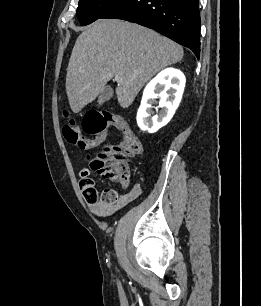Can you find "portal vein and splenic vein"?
Here are the masks:
<instances>
[{"label": "portal vein and splenic vein", "mask_w": 261, "mask_h": 306, "mask_svg": "<svg viewBox=\"0 0 261 306\" xmlns=\"http://www.w3.org/2000/svg\"><path fill=\"white\" fill-rule=\"evenodd\" d=\"M114 79H115V81H117V82H123V79H122L119 75H116V76L114 77Z\"/></svg>", "instance_id": "portal-vein-and-splenic-vein-1"}]
</instances>
